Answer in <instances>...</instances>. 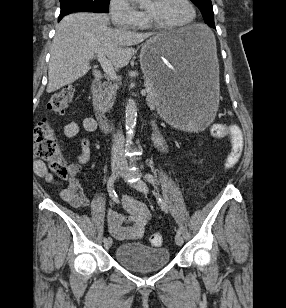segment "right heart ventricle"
I'll use <instances>...</instances> for the list:
<instances>
[{"mask_svg": "<svg viewBox=\"0 0 286 308\" xmlns=\"http://www.w3.org/2000/svg\"><path fill=\"white\" fill-rule=\"evenodd\" d=\"M146 27H149V24L147 23V21L143 20L138 28H146Z\"/></svg>", "mask_w": 286, "mask_h": 308, "instance_id": "obj_1", "label": "right heart ventricle"}]
</instances>
